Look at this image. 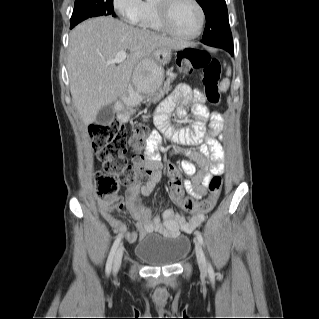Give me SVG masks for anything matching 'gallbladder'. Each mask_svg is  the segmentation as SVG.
<instances>
[{"mask_svg": "<svg viewBox=\"0 0 319 319\" xmlns=\"http://www.w3.org/2000/svg\"><path fill=\"white\" fill-rule=\"evenodd\" d=\"M114 115V105H106L99 110L95 122L97 124H108L114 119Z\"/></svg>", "mask_w": 319, "mask_h": 319, "instance_id": "1", "label": "gallbladder"}]
</instances>
